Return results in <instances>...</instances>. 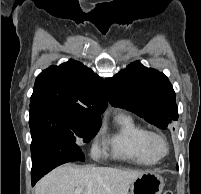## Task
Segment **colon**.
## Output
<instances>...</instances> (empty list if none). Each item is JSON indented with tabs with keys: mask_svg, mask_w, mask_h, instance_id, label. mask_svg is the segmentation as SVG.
Masks as SVG:
<instances>
[{
	"mask_svg": "<svg viewBox=\"0 0 201 194\" xmlns=\"http://www.w3.org/2000/svg\"><path fill=\"white\" fill-rule=\"evenodd\" d=\"M163 194H171L170 192H168V191H166L165 193H163Z\"/></svg>",
	"mask_w": 201,
	"mask_h": 194,
	"instance_id": "obj_1",
	"label": "colon"
}]
</instances>
